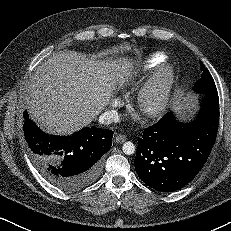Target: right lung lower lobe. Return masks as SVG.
Segmentation results:
<instances>
[{"mask_svg": "<svg viewBox=\"0 0 231 231\" xmlns=\"http://www.w3.org/2000/svg\"><path fill=\"white\" fill-rule=\"evenodd\" d=\"M24 136L40 173L57 188L74 192L92 183L102 170L103 155L112 145L113 132L85 127L68 136L43 132L23 113Z\"/></svg>", "mask_w": 231, "mask_h": 231, "instance_id": "98d812e1", "label": "right lung lower lobe"}]
</instances>
